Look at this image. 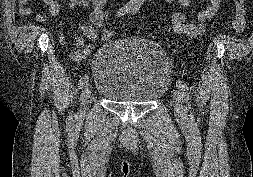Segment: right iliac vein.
I'll list each match as a JSON object with an SVG mask.
<instances>
[{"label": "right iliac vein", "mask_w": 253, "mask_h": 177, "mask_svg": "<svg viewBox=\"0 0 253 177\" xmlns=\"http://www.w3.org/2000/svg\"><path fill=\"white\" fill-rule=\"evenodd\" d=\"M91 94H92V87L90 85H86L81 95L82 109H85L91 97Z\"/></svg>", "instance_id": "right-iliac-vein-1"}]
</instances>
